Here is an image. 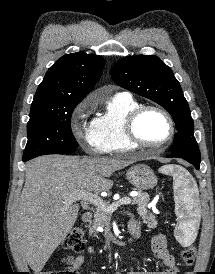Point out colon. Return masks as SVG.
Wrapping results in <instances>:
<instances>
[{"label":"colon","mask_w":215,"mask_h":274,"mask_svg":"<svg viewBox=\"0 0 215 274\" xmlns=\"http://www.w3.org/2000/svg\"><path fill=\"white\" fill-rule=\"evenodd\" d=\"M63 247L66 250L79 252L84 248L83 231L80 228L72 229L66 236ZM197 249L189 246L181 252V257L186 266H192L196 260ZM42 274H71L68 270L43 272Z\"/></svg>","instance_id":"obj_1"}]
</instances>
